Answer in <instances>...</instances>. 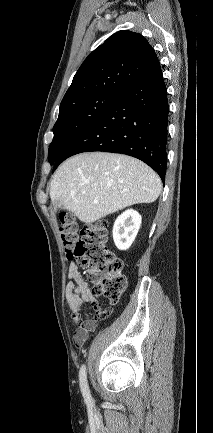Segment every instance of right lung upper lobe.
I'll list each match as a JSON object with an SVG mask.
<instances>
[{"label": "right lung upper lobe", "instance_id": "cb5924a9", "mask_svg": "<svg viewBox=\"0 0 213 433\" xmlns=\"http://www.w3.org/2000/svg\"><path fill=\"white\" fill-rule=\"evenodd\" d=\"M158 62L142 35L119 31L85 59L60 106L102 92L122 94Z\"/></svg>", "mask_w": 213, "mask_h": 433}]
</instances>
